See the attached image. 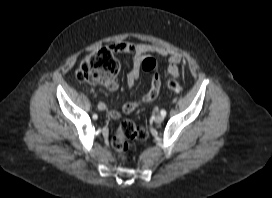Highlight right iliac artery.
Masks as SVG:
<instances>
[{"instance_id":"obj_1","label":"right iliac artery","mask_w":272,"mask_h":198,"mask_svg":"<svg viewBox=\"0 0 272 198\" xmlns=\"http://www.w3.org/2000/svg\"><path fill=\"white\" fill-rule=\"evenodd\" d=\"M102 105H103V104L100 103V104H99V107L102 106ZM97 117H98V116H97L96 114L93 115V118H94V119H97Z\"/></svg>"}]
</instances>
